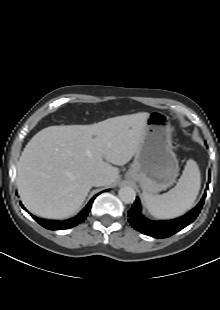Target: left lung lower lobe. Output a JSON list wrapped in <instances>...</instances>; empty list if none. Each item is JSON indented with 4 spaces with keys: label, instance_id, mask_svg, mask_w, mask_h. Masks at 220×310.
<instances>
[{
    "label": "left lung lower lobe",
    "instance_id": "0a47b994",
    "mask_svg": "<svg viewBox=\"0 0 220 310\" xmlns=\"http://www.w3.org/2000/svg\"><path fill=\"white\" fill-rule=\"evenodd\" d=\"M210 182V172L209 178ZM208 188V185H207ZM206 193H204L198 205L184 216L168 221H151L141 213L139 198H136L132 208L128 211L130 225L137 231L155 238H167L182 230L192 223L200 213Z\"/></svg>",
    "mask_w": 220,
    "mask_h": 310
}]
</instances>
